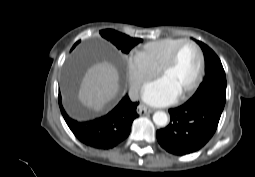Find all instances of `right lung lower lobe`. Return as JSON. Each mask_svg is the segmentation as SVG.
<instances>
[{
  "label": "right lung lower lobe",
  "instance_id": "obj_1",
  "mask_svg": "<svg viewBox=\"0 0 255 177\" xmlns=\"http://www.w3.org/2000/svg\"><path fill=\"white\" fill-rule=\"evenodd\" d=\"M137 105V102H131L126 95L107 115L80 122L66 114L59 95L61 113L70 130L79 141L96 149H111L128 137L132 122L138 117Z\"/></svg>",
  "mask_w": 255,
  "mask_h": 177
}]
</instances>
